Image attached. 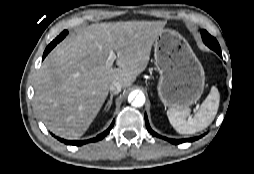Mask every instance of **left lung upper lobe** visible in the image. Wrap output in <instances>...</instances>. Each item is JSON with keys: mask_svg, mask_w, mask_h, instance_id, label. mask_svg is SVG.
<instances>
[{"mask_svg": "<svg viewBox=\"0 0 254 174\" xmlns=\"http://www.w3.org/2000/svg\"><path fill=\"white\" fill-rule=\"evenodd\" d=\"M202 39L204 43L211 48L212 50L218 52H221L220 46L217 42V40L212 37L206 30L201 31Z\"/></svg>", "mask_w": 254, "mask_h": 174, "instance_id": "1", "label": "left lung upper lobe"}]
</instances>
